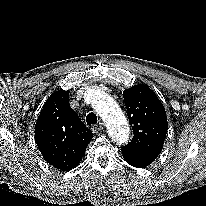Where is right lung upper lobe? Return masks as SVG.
I'll return each mask as SVG.
<instances>
[{"instance_id":"cb5924a9","label":"right lung upper lobe","mask_w":206,"mask_h":206,"mask_svg":"<svg viewBox=\"0 0 206 206\" xmlns=\"http://www.w3.org/2000/svg\"><path fill=\"white\" fill-rule=\"evenodd\" d=\"M93 133L69 104V91L53 92L35 125V141L50 165L69 171L79 165Z\"/></svg>"}]
</instances>
